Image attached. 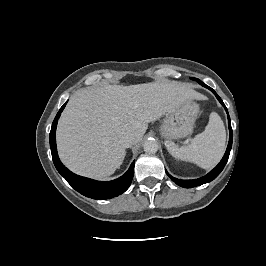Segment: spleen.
<instances>
[{
	"instance_id": "1",
	"label": "spleen",
	"mask_w": 266,
	"mask_h": 266,
	"mask_svg": "<svg viewBox=\"0 0 266 266\" xmlns=\"http://www.w3.org/2000/svg\"><path fill=\"white\" fill-rule=\"evenodd\" d=\"M226 131L220 116L212 112L208 125L187 146L167 142L169 153L177 159L192 162L204 169H211L222 158L225 150Z\"/></svg>"
}]
</instances>
